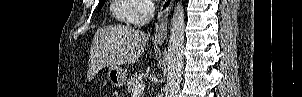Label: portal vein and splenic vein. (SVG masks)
<instances>
[{
	"mask_svg": "<svg viewBox=\"0 0 302 97\" xmlns=\"http://www.w3.org/2000/svg\"><path fill=\"white\" fill-rule=\"evenodd\" d=\"M144 88H145V85L142 82H140L135 85L133 93L140 94L143 92Z\"/></svg>",
	"mask_w": 302,
	"mask_h": 97,
	"instance_id": "portal-vein-and-splenic-vein-1",
	"label": "portal vein and splenic vein"
}]
</instances>
